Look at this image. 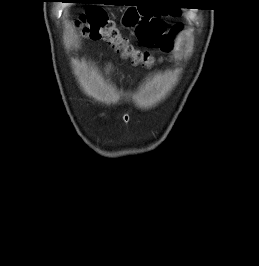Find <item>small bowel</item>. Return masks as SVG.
I'll use <instances>...</instances> for the list:
<instances>
[{
  "mask_svg": "<svg viewBox=\"0 0 259 266\" xmlns=\"http://www.w3.org/2000/svg\"><path fill=\"white\" fill-rule=\"evenodd\" d=\"M112 69H113L112 64L111 63H107L106 67H105L106 74L109 75L112 72Z\"/></svg>",
  "mask_w": 259,
  "mask_h": 266,
  "instance_id": "1",
  "label": "small bowel"
}]
</instances>
